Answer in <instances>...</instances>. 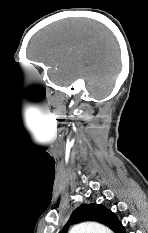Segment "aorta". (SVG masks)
Listing matches in <instances>:
<instances>
[{"label":"aorta","mask_w":148,"mask_h":233,"mask_svg":"<svg viewBox=\"0 0 148 233\" xmlns=\"http://www.w3.org/2000/svg\"><path fill=\"white\" fill-rule=\"evenodd\" d=\"M69 233H112L110 229L96 222H83L73 226Z\"/></svg>","instance_id":"762f6f07"}]
</instances>
